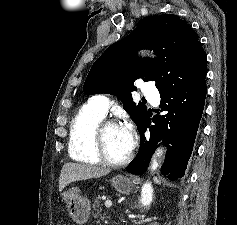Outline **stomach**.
<instances>
[{"label":"stomach","instance_id":"obj_1","mask_svg":"<svg viewBox=\"0 0 237 225\" xmlns=\"http://www.w3.org/2000/svg\"><path fill=\"white\" fill-rule=\"evenodd\" d=\"M113 187L122 194L133 190L134 180L123 175H117L111 180ZM62 200L67 205L69 215L76 222L84 223L90 215V201L80 194L77 187H73L61 194Z\"/></svg>","mask_w":237,"mask_h":225}]
</instances>
